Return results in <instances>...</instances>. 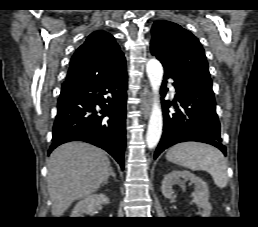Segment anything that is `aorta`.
<instances>
[{"label": "aorta", "instance_id": "aorta-1", "mask_svg": "<svg viewBox=\"0 0 258 227\" xmlns=\"http://www.w3.org/2000/svg\"><path fill=\"white\" fill-rule=\"evenodd\" d=\"M146 72L154 93V101L146 133L147 146L152 149L158 144L162 134L163 117L158 93L163 77V67L157 59H150L146 64Z\"/></svg>", "mask_w": 258, "mask_h": 227}]
</instances>
